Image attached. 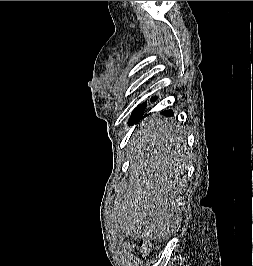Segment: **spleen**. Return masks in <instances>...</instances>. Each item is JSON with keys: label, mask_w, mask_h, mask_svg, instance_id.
Returning <instances> with one entry per match:
<instances>
[{"label": "spleen", "mask_w": 253, "mask_h": 266, "mask_svg": "<svg viewBox=\"0 0 253 266\" xmlns=\"http://www.w3.org/2000/svg\"><path fill=\"white\" fill-rule=\"evenodd\" d=\"M155 132H164V123L154 124ZM127 143L133 144L135 136L129 135ZM140 147H131L129 155L133 160L132 185L139 190H131L129 207H115V216H126L124 228L131 235L132 242H166V235H178L179 228L175 216L178 215L176 201L181 199L184 141H168L166 135H140Z\"/></svg>", "instance_id": "spleen-1"}]
</instances>
